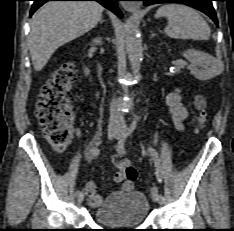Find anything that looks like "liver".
<instances>
[{"label": "liver", "mask_w": 234, "mask_h": 231, "mask_svg": "<svg viewBox=\"0 0 234 231\" xmlns=\"http://www.w3.org/2000/svg\"><path fill=\"white\" fill-rule=\"evenodd\" d=\"M103 7L94 1H53L31 19L29 49L35 71H41L62 45L84 35L102 18Z\"/></svg>", "instance_id": "1"}]
</instances>
